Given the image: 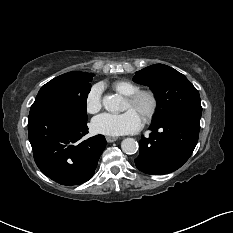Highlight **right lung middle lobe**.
I'll use <instances>...</instances> for the list:
<instances>
[{
    "instance_id": "1",
    "label": "right lung middle lobe",
    "mask_w": 233,
    "mask_h": 233,
    "mask_svg": "<svg viewBox=\"0 0 233 233\" xmlns=\"http://www.w3.org/2000/svg\"><path fill=\"white\" fill-rule=\"evenodd\" d=\"M93 76L92 73L75 71L52 79L38 92L29 118L42 112H61L87 121L86 101Z\"/></svg>"
}]
</instances>
